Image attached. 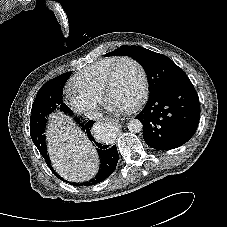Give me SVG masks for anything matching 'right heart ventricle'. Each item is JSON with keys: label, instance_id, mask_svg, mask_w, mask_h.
<instances>
[{"label": "right heart ventricle", "instance_id": "1", "mask_svg": "<svg viewBox=\"0 0 227 227\" xmlns=\"http://www.w3.org/2000/svg\"><path fill=\"white\" fill-rule=\"evenodd\" d=\"M117 59L118 57L102 58L84 68L71 80L74 91L101 99L104 81Z\"/></svg>", "mask_w": 227, "mask_h": 227}]
</instances>
